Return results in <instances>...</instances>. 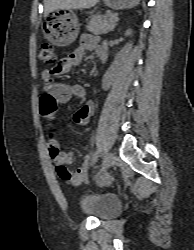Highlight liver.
<instances>
[{
	"label": "liver",
	"instance_id": "6515ba94",
	"mask_svg": "<svg viewBox=\"0 0 194 250\" xmlns=\"http://www.w3.org/2000/svg\"><path fill=\"white\" fill-rule=\"evenodd\" d=\"M98 0H45L44 16L46 17L55 9H88L94 7Z\"/></svg>",
	"mask_w": 194,
	"mask_h": 250
}]
</instances>
